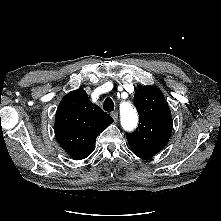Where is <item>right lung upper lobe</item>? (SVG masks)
Listing matches in <instances>:
<instances>
[{"label":"right lung upper lobe","mask_w":221,"mask_h":221,"mask_svg":"<svg viewBox=\"0 0 221 221\" xmlns=\"http://www.w3.org/2000/svg\"><path fill=\"white\" fill-rule=\"evenodd\" d=\"M112 122L111 116L92 104L83 89H78L61 100L55 117V135L72 159L81 160L93 152L97 136Z\"/></svg>","instance_id":"1"}]
</instances>
